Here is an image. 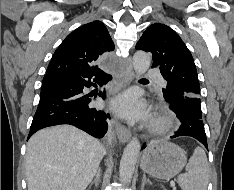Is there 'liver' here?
Returning a JSON list of instances; mask_svg holds the SVG:
<instances>
[{"instance_id":"liver-1","label":"liver","mask_w":234,"mask_h":190,"mask_svg":"<svg viewBox=\"0 0 234 190\" xmlns=\"http://www.w3.org/2000/svg\"><path fill=\"white\" fill-rule=\"evenodd\" d=\"M106 154L94 137L70 125L49 127L28 141V190H85Z\"/></svg>"}]
</instances>
